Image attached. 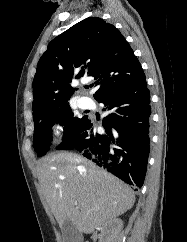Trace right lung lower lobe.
I'll use <instances>...</instances> for the list:
<instances>
[{
  "mask_svg": "<svg viewBox=\"0 0 187 242\" xmlns=\"http://www.w3.org/2000/svg\"><path fill=\"white\" fill-rule=\"evenodd\" d=\"M110 113L98 134L86 119L56 149L75 150L129 185L141 188L150 151V92L146 79L113 90L97 99Z\"/></svg>",
  "mask_w": 187,
  "mask_h": 242,
  "instance_id": "right-lung-lower-lobe-1",
  "label": "right lung lower lobe"
}]
</instances>
